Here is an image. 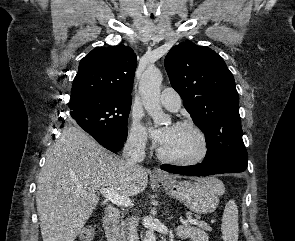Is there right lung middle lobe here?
Returning a JSON list of instances; mask_svg holds the SVG:
<instances>
[{
    "label": "right lung middle lobe",
    "mask_w": 295,
    "mask_h": 241,
    "mask_svg": "<svg viewBox=\"0 0 295 241\" xmlns=\"http://www.w3.org/2000/svg\"><path fill=\"white\" fill-rule=\"evenodd\" d=\"M131 103L118 99L88 98L70 103V116L72 122L89 134L125 141Z\"/></svg>",
    "instance_id": "obj_1"
}]
</instances>
